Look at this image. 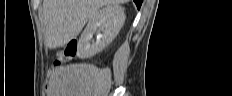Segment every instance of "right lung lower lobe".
I'll return each mask as SVG.
<instances>
[{
  "label": "right lung lower lobe",
  "instance_id": "right-lung-lower-lobe-1",
  "mask_svg": "<svg viewBox=\"0 0 232 96\" xmlns=\"http://www.w3.org/2000/svg\"><path fill=\"white\" fill-rule=\"evenodd\" d=\"M134 2L136 4L137 8L140 9L143 0H134Z\"/></svg>",
  "mask_w": 232,
  "mask_h": 96
}]
</instances>
